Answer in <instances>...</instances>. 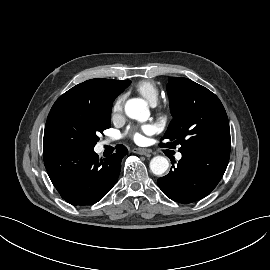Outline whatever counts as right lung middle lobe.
<instances>
[{"mask_svg": "<svg viewBox=\"0 0 270 270\" xmlns=\"http://www.w3.org/2000/svg\"><path fill=\"white\" fill-rule=\"evenodd\" d=\"M111 108L63 107L50 112L44 130V153L93 150L98 134L110 127Z\"/></svg>", "mask_w": 270, "mask_h": 270, "instance_id": "obj_1", "label": "right lung middle lobe"}]
</instances>
